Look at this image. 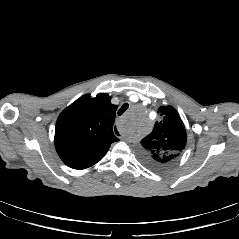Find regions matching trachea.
<instances>
[{
    "instance_id": "3493384b",
    "label": "trachea",
    "mask_w": 239,
    "mask_h": 239,
    "mask_svg": "<svg viewBox=\"0 0 239 239\" xmlns=\"http://www.w3.org/2000/svg\"><path fill=\"white\" fill-rule=\"evenodd\" d=\"M128 107H129L128 103H124L119 109L118 115L119 116L122 115L128 109Z\"/></svg>"
}]
</instances>
